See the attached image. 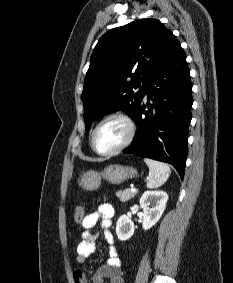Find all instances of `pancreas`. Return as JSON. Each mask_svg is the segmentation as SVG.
<instances>
[{
  "mask_svg": "<svg viewBox=\"0 0 233 283\" xmlns=\"http://www.w3.org/2000/svg\"><path fill=\"white\" fill-rule=\"evenodd\" d=\"M136 195V192H132L130 189L120 190L116 192V196L121 202H127Z\"/></svg>",
  "mask_w": 233,
  "mask_h": 283,
  "instance_id": "pancreas-1",
  "label": "pancreas"
}]
</instances>
